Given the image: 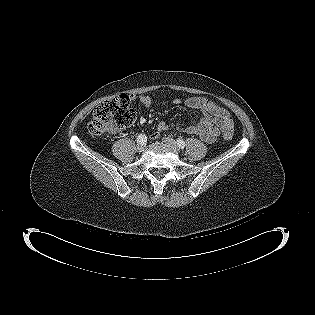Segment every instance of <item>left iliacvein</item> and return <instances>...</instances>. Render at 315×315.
Listing matches in <instances>:
<instances>
[{
	"label": "left iliac vein",
	"instance_id": "4c4485c4",
	"mask_svg": "<svg viewBox=\"0 0 315 315\" xmlns=\"http://www.w3.org/2000/svg\"><path fill=\"white\" fill-rule=\"evenodd\" d=\"M163 143H165L167 146L171 147L175 152H179L180 148L177 145L176 141L170 137H163L162 139Z\"/></svg>",
	"mask_w": 315,
	"mask_h": 315
}]
</instances>
